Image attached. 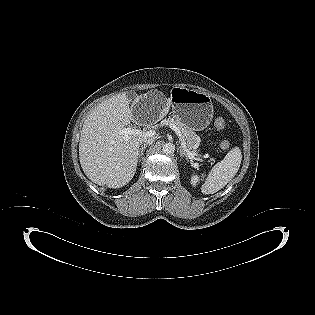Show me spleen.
I'll use <instances>...</instances> for the list:
<instances>
[{"label":"spleen","instance_id":"3e777b00","mask_svg":"<svg viewBox=\"0 0 315 315\" xmlns=\"http://www.w3.org/2000/svg\"><path fill=\"white\" fill-rule=\"evenodd\" d=\"M242 154L239 147L232 148L221 162L210 170L201 187L203 194H214L234 178L240 168ZM204 174H202V177Z\"/></svg>","mask_w":315,"mask_h":315}]
</instances>
